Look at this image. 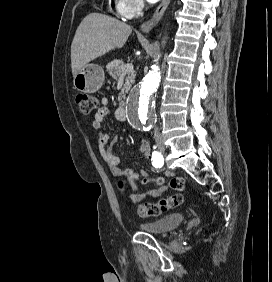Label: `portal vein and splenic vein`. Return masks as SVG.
Segmentation results:
<instances>
[{"label":"portal vein and splenic vein","mask_w":272,"mask_h":282,"mask_svg":"<svg viewBox=\"0 0 272 282\" xmlns=\"http://www.w3.org/2000/svg\"><path fill=\"white\" fill-rule=\"evenodd\" d=\"M133 68V64H127L122 70V75L126 74L127 72L133 71Z\"/></svg>","instance_id":"18ae733b"}]
</instances>
